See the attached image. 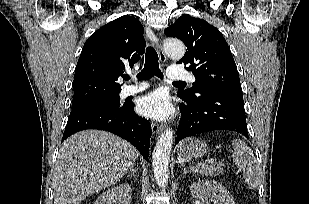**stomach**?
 Wrapping results in <instances>:
<instances>
[{"mask_svg": "<svg viewBox=\"0 0 309 204\" xmlns=\"http://www.w3.org/2000/svg\"><path fill=\"white\" fill-rule=\"evenodd\" d=\"M207 150L208 145L197 138H187L177 146L178 155L187 159L201 157L207 152Z\"/></svg>", "mask_w": 309, "mask_h": 204, "instance_id": "obj_1", "label": "stomach"}]
</instances>
